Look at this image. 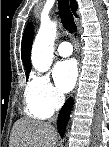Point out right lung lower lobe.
Wrapping results in <instances>:
<instances>
[{"instance_id":"right-lung-lower-lobe-1","label":"right lung lower lobe","mask_w":109,"mask_h":147,"mask_svg":"<svg viewBox=\"0 0 109 147\" xmlns=\"http://www.w3.org/2000/svg\"><path fill=\"white\" fill-rule=\"evenodd\" d=\"M72 105H73V99L69 98L65 102L62 109L60 110L58 122H57V128H58V132L61 135V137L64 136V132H65L68 120H69L70 113H71Z\"/></svg>"}]
</instances>
